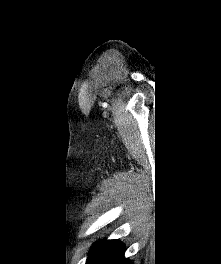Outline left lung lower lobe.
Wrapping results in <instances>:
<instances>
[{
	"instance_id": "1",
	"label": "left lung lower lobe",
	"mask_w": 221,
	"mask_h": 264,
	"mask_svg": "<svg viewBox=\"0 0 221 264\" xmlns=\"http://www.w3.org/2000/svg\"><path fill=\"white\" fill-rule=\"evenodd\" d=\"M86 264H131L124 258V244L117 240H104L89 253Z\"/></svg>"
}]
</instances>
